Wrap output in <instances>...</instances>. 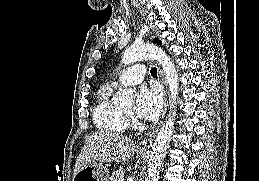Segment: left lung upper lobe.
<instances>
[{
	"label": "left lung upper lobe",
	"instance_id": "1",
	"mask_svg": "<svg viewBox=\"0 0 259 181\" xmlns=\"http://www.w3.org/2000/svg\"><path fill=\"white\" fill-rule=\"evenodd\" d=\"M155 42L158 43V44H161V41L158 40V39H155Z\"/></svg>",
	"mask_w": 259,
	"mask_h": 181
}]
</instances>
